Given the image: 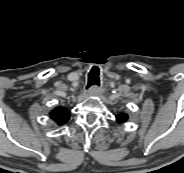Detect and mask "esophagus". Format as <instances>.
<instances>
[{"label":"esophagus","instance_id":"obj_1","mask_svg":"<svg viewBox=\"0 0 184 173\" xmlns=\"http://www.w3.org/2000/svg\"><path fill=\"white\" fill-rule=\"evenodd\" d=\"M90 96H97L101 93V88L93 86L87 91Z\"/></svg>","mask_w":184,"mask_h":173}]
</instances>
